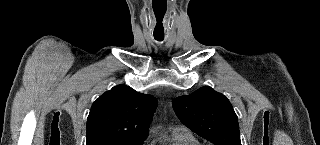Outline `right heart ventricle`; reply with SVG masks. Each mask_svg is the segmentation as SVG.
Instances as JSON below:
<instances>
[{"instance_id": "e07e8e85", "label": "right heart ventricle", "mask_w": 320, "mask_h": 145, "mask_svg": "<svg viewBox=\"0 0 320 145\" xmlns=\"http://www.w3.org/2000/svg\"><path fill=\"white\" fill-rule=\"evenodd\" d=\"M166 145H200V142L188 130H173Z\"/></svg>"}]
</instances>
